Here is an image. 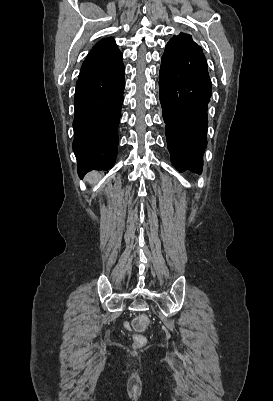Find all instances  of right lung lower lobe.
<instances>
[{
    "mask_svg": "<svg viewBox=\"0 0 273 401\" xmlns=\"http://www.w3.org/2000/svg\"><path fill=\"white\" fill-rule=\"evenodd\" d=\"M124 72L121 58L108 67L78 78L73 151L80 177L91 170H108L115 163Z\"/></svg>",
    "mask_w": 273,
    "mask_h": 401,
    "instance_id": "98d812e1",
    "label": "right lung lower lobe"
}]
</instances>
